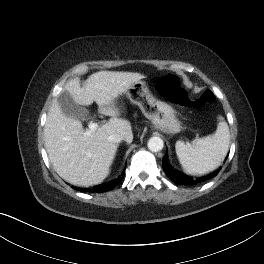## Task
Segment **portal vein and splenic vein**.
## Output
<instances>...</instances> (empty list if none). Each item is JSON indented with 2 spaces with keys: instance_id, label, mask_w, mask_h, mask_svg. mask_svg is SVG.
<instances>
[{
  "instance_id": "portal-vein-and-splenic-vein-1",
  "label": "portal vein and splenic vein",
  "mask_w": 264,
  "mask_h": 264,
  "mask_svg": "<svg viewBox=\"0 0 264 264\" xmlns=\"http://www.w3.org/2000/svg\"><path fill=\"white\" fill-rule=\"evenodd\" d=\"M88 127H89V130L86 131V133H85L87 135H89L92 131L96 130L97 127H98V124L95 123V122H90L89 125H88Z\"/></svg>"
}]
</instances>
